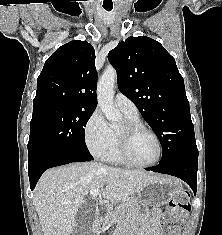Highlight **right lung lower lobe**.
Segmentation results:
<instances>
[{
  "instance_id": "98d812e1",
  "label": "right lung lower lobe",
  "mask_w": 222,
  "mask_h": 235,
  "mask_svg": "<svg viewBox=\"0 0 222 235\" xmlns=\"http://www.w3.org/2000/svg\"><path fill=\"white\" fill-rule=\"evenodd\" d=\"M92 156H82L73 154H59L47 157L36 165L29 167L30 188L33 190L43 172L49 168L60 166L72 162L91 161Z\"/></svg>"
}]
</instances>
